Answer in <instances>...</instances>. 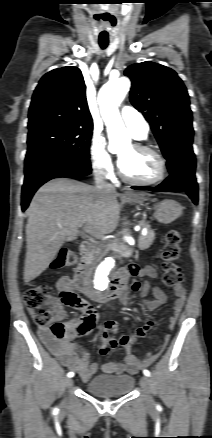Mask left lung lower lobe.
<instances>
[{
	"mask_svg": "<svg viewBox=\"0 0 212 438\" xmlns=\"http://www.w3.org/2000/svg\"><path fill=\"white\" fill-rule=\"evenodd\" d=\"M170 176L157 187H132L136 190L181 192L198 203V184L195 177L196 160L192 146L177 149L167 158Z\"/></svg>",
	"mask_w": 212,
	"mask_h": 438,
	"instance_id": "0a47b994",
	"label": "left lung lower lobe"
}]
</instances>
